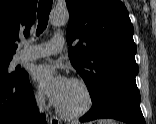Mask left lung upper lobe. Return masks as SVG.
<instances>
[{"label":"left lung upper lobe","instance_id":"1","mask_svg":"<svg viewBox=\"0 0 156 124\" xmlns=\"http://www.w3.org/2000/svg\"><path fill=\"white\" fill-rule=\"evenodd\" d=\"M66 4L69 58L92 102L112 93L140 99L134 29L125 5L119 0H66Z\"/></svg>","mask_w":156,"mask_h":124}]
</instances>
